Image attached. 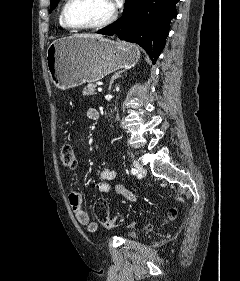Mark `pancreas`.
<instances>
[{
	"instance_id": "cf45deb5",
	"label": "pancreas",
	"mask_w": 240,
	"mask_h": 281,
	"mask_svg": "<svg viewBox=\"0 0 240 281\" xmlns=\"http://www.w3.org/2000/svg\"><path fill=\"white\" fill-rule=\"evenodd\" d=\"M96 87L95 84H88L82 91L83 96H94L96 94Z\"/></svg>"
}]
</instances>
